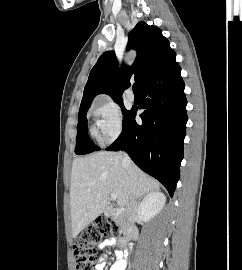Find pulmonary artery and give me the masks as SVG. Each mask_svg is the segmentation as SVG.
<instances>
[{
    "instance_id": "e3ab8cb5",
    "label": "pulmonary artery",
    "mask_w": 242,
    "mask_h": 270,
    "mask_svg": "<svg viewBox=\"0 0 242 270\" xmlns=\"http://www.w3.org/2000/svg\"><path fill=\"white\" fill-rule=\"evenodd\" d=\"M127 98L130 100V101H133L135 99V94L132 90H129L127 92Z\"/></svg>"
}]
</instances>
